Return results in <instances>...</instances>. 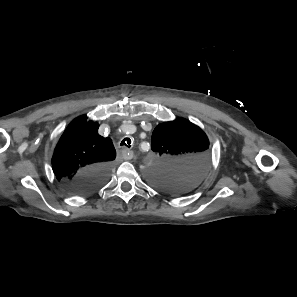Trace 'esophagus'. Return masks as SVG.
<instances>
[{"instance_id": "34e87169", "label": "esophagus", "mask_w": 297, "mask_h": 297, "mask_svg": "<svg viewBox=\"0 0 297 297\" xmlns=\"http://www.w3.org/2000/svg\"><path fill=\"white\" fill-rule=\"evenodd\" d=\"M122 156L125 160H130L133 158L134 153L133 151L129 150L128 148H123L121 150Z\"/></svg>"}]
</instances>
